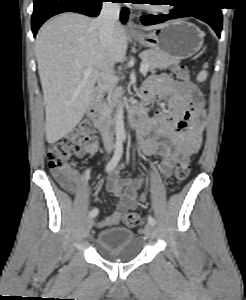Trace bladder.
I'll use <instances>...</instances> for the list:
<instances>
[{
    "instance_id": "obj_1",
    "label": "bladder",
    "mask_w": 246,
    "mask_h": 300,
    "mask_svg": "<svg viewBox=\"0 0 246 300\" xmlns=\"http://www.w3.org/2000/svg\"><path fill=\"white\" fill-rule=\"evenodd\" d=\"M95 245L99 253L119 261L134 260L142 250V243L135 233L122 226L101 230Z\"/></svg>"
}]
</instances>
